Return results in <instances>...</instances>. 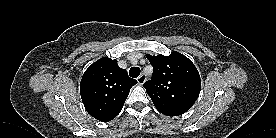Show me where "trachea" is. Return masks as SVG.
Returning a JSON list of instances; mask_svg holds the SVG:
<instances>
[{"instance_id": "obj_1", "label": "trachea", "mask_w": 276, "mask_h": 138, "mask_svg": "<svg viewBox=\"0 0 276 138\" xmlns=\"http://www.w3.org/2000/svg\"><path fill=\"white\" fill-rule=\"evenodd\" d=\"M129 75L132 77V78H136L140 75V68L139 67H132L130 70H129Z\"/></svg>"}]
</instances>
